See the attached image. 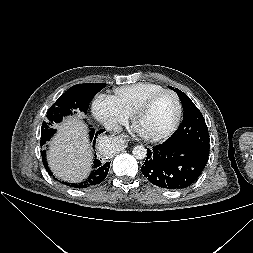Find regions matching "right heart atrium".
I'll return each mask as SVG.
<instances>
[{
    "label": "right heart atrium",
    "mask_w": 253,
    "mask_h": 253,
    "mask_svg": "<svg viewBox=\"0 0 253 253\" xmlns=\"http://www.w3.org/2000/svg\"><path fill=\"white\" fill-rule=\"evenodd\" d=\"M94 118L107 129L115 131L127 121V118L116 106L111 96L97 95L92 102Z\"/></svg>",
    "instance_id": "d8ad5b80"
}]
</instances>
